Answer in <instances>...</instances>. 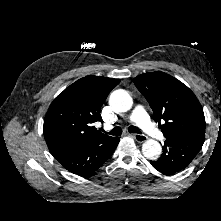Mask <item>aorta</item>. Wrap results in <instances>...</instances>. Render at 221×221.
I'll list each match as a JSON object with an SVG mask.
<instances>
[{
    "mask_svg": "<svg viewBox=\"0 0 221 221\" xmlns=\"http://www.w3.org/2000/svg\"><path fill=\"white\" fill-rule=\"evenodd\" d=\"M109 104L117 112H126L131 109L133 100L127 91L119 89L110 95ZM161 152V145L156 140H146L142 145V153L149 160H157Z\"/></svg>",
    "mask_w": 221,
    "mask_h": 221,
    "instance_id": "762f6f07",
    "label": "aorta"
}]
</instances>
